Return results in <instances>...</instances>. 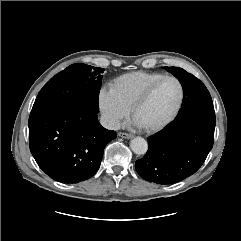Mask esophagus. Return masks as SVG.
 <instances>
[{
  "mask_svg": "<svg viewBox=\"0 0 241 241\" xmlns=\"http://www.w3.org/2000/svg\"><path fill=\"white\" fill-rule=\"evenodd\" d=\"M118 135H119L120 137H122V138H125V139H130V138L133 137L132 134L124 133V132H120Z\"/></svg>",
  "mask_w": 241,
  "mask_h": 241,
  "instance_id": "esophagus-1",
  "label": "esophagus"
}]
</instances>
